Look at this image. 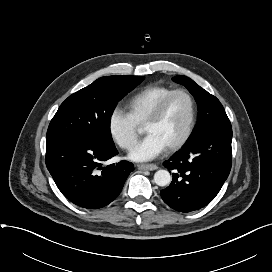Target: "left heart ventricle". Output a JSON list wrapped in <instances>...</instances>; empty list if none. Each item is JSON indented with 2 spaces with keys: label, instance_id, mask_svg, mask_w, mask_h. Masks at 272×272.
<instances>
[{
  "label": "left heart ventricle",
  "instance_id": "b2bd125f",
  "mask_svg": "<svg viewBox=\"0 0 272 272\" xmlns=\"http://www.w3.org/2000/svg\"><path fill=\"white\" fill-rule=\"evenodd\" d=\"M190 116V105L184 95H176L168 104L162 118L145 127L147 134L156 135L167 147L184 134Z\"/></svg>",
  "mask_w": 272,
  "mask_h": 272
}]
</instances>
